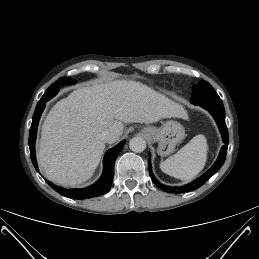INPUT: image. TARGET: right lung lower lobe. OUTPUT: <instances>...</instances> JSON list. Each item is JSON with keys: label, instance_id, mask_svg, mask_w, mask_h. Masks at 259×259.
<instances>
[{"label": "right lung lower lobe", "instance_id": "obj_1", "mask_svg": "<svg viewBox=\"0 0 259 259\" xmlns=\"http://www.w3.org/2000/svg\"><path fill=\"white\" fill-rule=\"evenodd\" d=\"M45 101L38 102L37 107L34 112V116L32 119V124L30 128V134H29V148H30V156L32 163L35 167V169L38 171V166L36 162V156H35V139H36V132H37V126L39 122V118L41 116L42 111L45 107ZM125 144V140L121 141L118 145L111 148L104 157V170L101 178L98 180L97 183L82 189H65L59 186H56L52 184L49 181H46L56 192L60 193L61 195L72 198V199H88L93 198L102 194L107 193L110 190L111 183L114 177V164L115 160L123 148Z\"/></svg>", "mask_w": 259, "mask_h": 259}]
</instances>
